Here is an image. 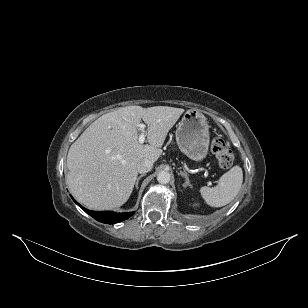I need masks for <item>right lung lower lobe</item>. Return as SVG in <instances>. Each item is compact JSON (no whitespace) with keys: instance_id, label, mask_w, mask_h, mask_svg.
Returning a JSON list of instances; mask_svg holds the SVG:
<instances>
[{"instance_id":"98d812e1","label":"right lung lower lobe","mask_w":308,"mask_h":308,"mask_svg":"<svg viewBox=\"0 0 308 308\" xmlns=\"http://www.w3.org/2000/svg\"><path fill=\"white\" fill-rule=\"evenodd\" d=\"M74 202L77 205H79L75 200H74ZM80 207L86 213H88L90 216H92L94 219H96L99 222L105 223V224H114V223L126 220L134 214V212H130V213H115V212H111V211L96 212V211H89L82 206H80Z\"/></svg>"}]
</instances>
